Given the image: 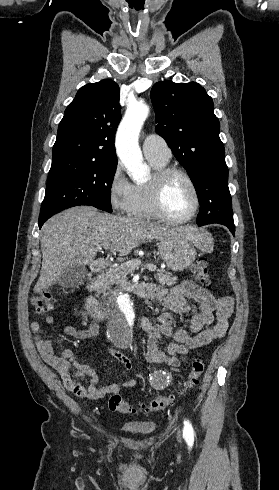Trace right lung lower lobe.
Here are the masks:
<instances>
[{
	"instance_id": "right-lung-lower-lobe-1",
	"label": "right lung lower lobe",
	"mask_w": 279,
	"mask_h": 490,
	"mask_svg": "<svg viewBox=\"0 0 279 490\" xmlns=\"http://www.w3.org/2000/svg\"><path fill=\"white\" fill-rule=\"evenodd\" d=\"M46 220L45 219H39V228H41V226L43 225V223L45 222Z\"/></svg>"
}]
</instances>
